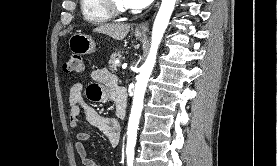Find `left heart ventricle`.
I'll list each match as a JSON object with an SVG mask.
<instances>
[{"instance_id":"left-heart-ventricle-1","label":"left heart ventricle","mask_w":277,"mask_h":166,"mask_svg":"<svg viewBox=\"0 0 277 166\" xmlns=\"http://www.w3.org/2000/svg\"><path fill=\"white\" fill-rule=\"evenodd\" d=\"M116 2H117L120 6L126 7V5L124 4V1H123V0H116Z\"/></svg>"}]
</instances>
